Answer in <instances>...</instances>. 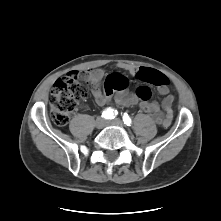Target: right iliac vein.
Listing matches in <instances>:
<instances>
[{
	"label": "right iliac vein",
	"instance_id": "obj_1",
	"mask_svg": "<svg viewBox=\"0 0 221 221\" xmlns=\"http://www.w3.org/2000/svg\"><path fill=\"white\" fill-rule=\"evenodd\" d=\"M105 126V120L102 117H97L96 121H95V127L97 129H102Z\"/></svg>",
	"mask_w": 221,
	"mask_h": 221
}]
</instances>
